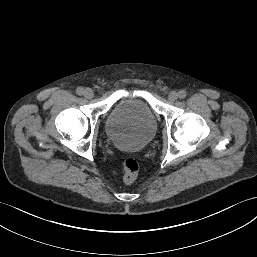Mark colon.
Segmentation results:
<instances>
[{
  "label": "colon",
  "mask_w": 257,
  "mask_h": 257,
  "mask_svg": "<svg viewBox=\"0 0 257 257\" xmlns=\"http://www.w3.org/2000/svg\"><path fill=\"white\" fill-rule=\"evenodd\" d=\"M139 165L134 158H127L123 163L124 170V182L126 184H131L134 182L136 174L138 172Z\"/></svg>",
  "instance_id": "colon-1"
}]
</instances>
